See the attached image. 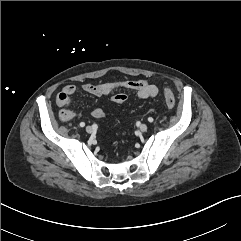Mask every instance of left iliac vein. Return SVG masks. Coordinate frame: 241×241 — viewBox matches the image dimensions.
<instances>
[{"label":"left iliac vein","instance_id":"left-iliac-vein-1","mask_svg":"<svg viewBox=\"0 0 241 241\" xmlns=\"http://www.w3.org/2000/svg\"><path fill=\"white\" fill-rule=\"evenodd\" d=\"M139 129H140V131L145 132V131H147L148 126H147L146 124H141V125L139 126Z\"/></svg>","mask_w":241,"mask_h":241}]
</instances>
